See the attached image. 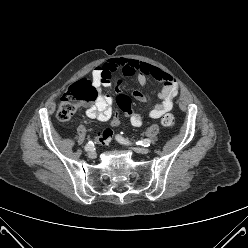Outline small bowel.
I'll use <instances>...</instances> for the list:
<instances>
[{
    "instance_id": "small-bowel-1",
    "label": "small bowel",
    "mask_w": 248,
    "mask_h": 248,
    "mask_svg": "<svg viewBox=\"0 0 248 248\" xmlns=\"http://www.w3.org/2000/svg\"><path fill=\"white\" fill-rule=\"evenodd\" d=\"M122 74L124 76H134L141 86L148 84L149 78L160 82L163 87L159 92L160 102L150 105L147 116L152 119H159L169 112L174 104V100L179 92V84L176 78L160 69L159 67L142 63L137 60L125 58H113L105 63L98 65L92 72L93 83L100 88L102 85L110 86L112 77ZM133 97L139 102H147V96L140 90L133 92ZM112 98L107 95L99 94L95 103L87 108L86 116L98 121H107L112 114ZM145 121V115L134 113L130 118V123L135 127H140Z\"/></svg>"
}]
</instances>
